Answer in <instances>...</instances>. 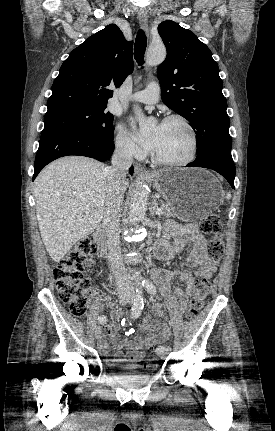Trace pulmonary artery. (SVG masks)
Here are the masks:
<instances>
[{
	"label": "pulmonary artery",
	"mask_w": 275,
	"mask_h": 431,
	"mask_svg": "<svg viewBox=\"0 0 275 431\" xmlns=\"http://www.w3.org/2000/svg\"><path fill=\"white\" fill-rule=\"evenodd\" d=\"M160 97V87L157 82H151L146 89L134 93L130 100L144 103V104H155L158 102Z\"/></svg>",
	"instance_id": "obj_1"
}]
</instances>
